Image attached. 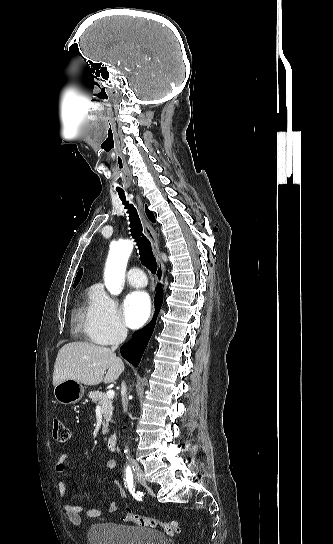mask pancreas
<instances>
[{
  "mask_svg": "<svg viewBox=\"0 0 333 544\" xmlns=\"http://www.w3.org/2000/svg\"><path fill=\"white\" fill-rule=\"evenodd\" d=\"M88 396L93 403L101 405L104 416L103 434L108 433V423L111 420L113 412L112 399L108 398L106 394L99 391H91L89 392Z\"/></svg>",
  "mask_w": 333,
  "mask_h": 544,
  "instance_id": "cf45deb5",
  "label": "pancreas"
}]
</instances>
